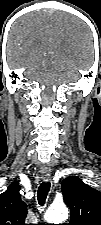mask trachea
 <instances>
[{"label": "trachea", "instance_id": "3493384b", "mask_svg": "<svg viewBox=\"0 0 101 225\" xmlns=\"http://www.w3.org/2000/svg\"><path fill=\"white\" fill-rule=\"evenodd\" d=\"M50 182H42L38 188L37 200L40 206H44L47 195L50 190Z\"/></svg>", "mask_w": 101, "mask_h": 225}]
</instances>
